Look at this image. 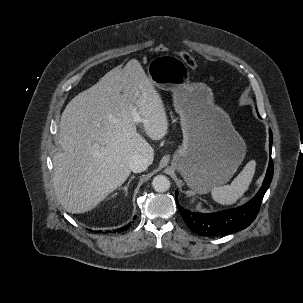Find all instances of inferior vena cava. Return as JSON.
I'll list each match as a JSON object with an SVG mask.
<instances>
[{
    "instance_id": "602c4592",
    "label": "inferior vena cava",
    "mask_w": 303,
    "mask_h": 303,
    "mask_svg": "<svg viewBox=\"0 0 303 303\" xmlns=\"http://www.w3.org/2000/svg\"><path fill=\"white\" fill-rule=\"evenodd\" d=\"M149 165L150 160L141 154L134 155L129 161V168L134 173L143 172Z\"/></svg>"
}]
</instances>
